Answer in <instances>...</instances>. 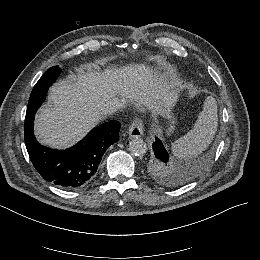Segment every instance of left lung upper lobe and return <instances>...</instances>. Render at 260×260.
<instances>
[{"label": "left lung upper lobe", "instance_id": "left-lung-upper-lobe-1", "mask_svg": "<svg viewBox=\"0 0 260 260\" xmlns=\"http://www.w3.org/2000/svg\"><path fill=\"white\" fill-rule=\"evenodd\" d=\"M145 171L151 179L167 187H177L188 181L193 172L184 171L168 160L160 159L149 153L145 164Z\"/></svg>", "mask_w": 260, "mask_h": 260}]
</instances>
